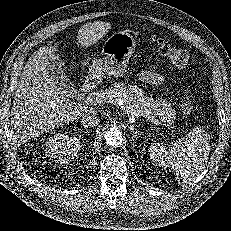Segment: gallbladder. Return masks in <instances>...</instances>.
<instances>
[{"label":"gallbladder","instance_id":"1","mask_svg":"<svg viewBox=\"0 0 231 231\" xmlns=\"http://www.w3.org/2000/svg\"><path fill=\"white\" fill-rule=\"evenodd\" d=\"M47 72L54 84L61 89L67 96H72L76 93L74 85L70 82L67 76H65L54 63H50L47 68Z\"/></svg>","mask_w":231,"mask_h":231}]
</instances>
